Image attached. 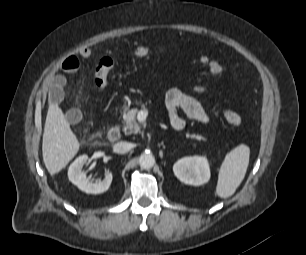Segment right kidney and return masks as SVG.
I'll return each instance as SVG.
<instances>
[{"instance_id":"obj_1","label":"right kidney","mask_w":306,"mask_h":255,"mask_svg":"<svg viewBox=\"0 0 306 255\" xmlns=\"http://www.w3.org/2000/svg\"><path fill=\"white\" fill-rule=\"evenodd\" d=\"M88 156H79L69 167V180L76 185L81 191L91 194H100L107 191L112 182V173L105 175V178L99 182H88L86 172L82 170L83 166L87 164Z\"/></svg>"}]
</instances>
